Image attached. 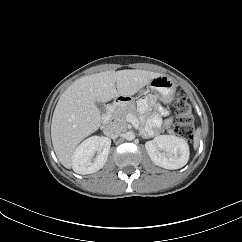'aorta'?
Listing matches in <instances>:
<instances>
[{
    "label": "aorta",
    "instance_id": "1",
    "mask_svg": "<svg viewBox=\"0 0 242 242\" xmlns=\"http://www.w3.org/2000/svg\"><path fill=\"white\" fill-rule=\"evenodd\" d=\"M124 137L128 141H132L135 138V134L131 131H128V132L125 133Z\"/></svg>",
    "mask_w": 242,
    "mask_h": 242
}]
</instances>
